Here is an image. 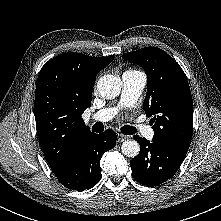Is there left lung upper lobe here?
<instances>
[{
    "label": "left lung upper lobe",
    "instance_id": "5c2ea615",
    "mask_svg": "<svg viewBox=\"0 0 221 221\" xmlns=\"http://www.w3.org/2000/svg\"><path fill=\"white\" fill-rule=\"evenodd\" d=\"M123 57L147 74L144 111L153 117V140L187 151L193 133V102L180 65L157 47H144Z\"/></svg>",
    "mask_w": 221,
    "mask_h": 221
}]
</instances>
